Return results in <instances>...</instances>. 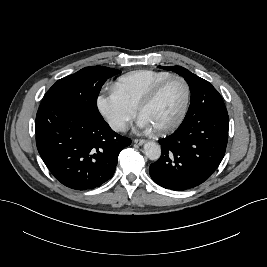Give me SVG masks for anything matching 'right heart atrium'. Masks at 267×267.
Returning <instances> with one entry per match:
<instances>
[{
	"mask_svg": "<svg viewBox=\"0 0 267 267\" xmlns=\"http://www.w3.org/2000/svg\"><path fill=\"white\" fill-rule=\"evenodd\" d=\"M96 103L100 114L109 126L117 132L124 131L136 114V109L114 90L99 94Z\"/></svg>",
	"mask_w": 267,
	"mask_h": 267,
	"instance_id": "right-heart-atrium-1",
	"label": "right heart atrium"
}]
</instances>
